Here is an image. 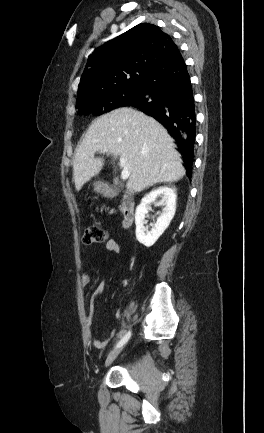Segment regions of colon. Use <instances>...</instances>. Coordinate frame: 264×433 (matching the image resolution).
Masks as SVG:
<instances>
[{"mask_svg": "<svg viewBox=\"0 0 264 433\" xmlns=\"http://www.w3.org/2000/svg\"><path fill=\"white\" fill-rule=\"evenodd\" d=\"M108 240L107 232L96 225H92L86 228L83 234V242L86 245L100 244Z\"/></svg>", "mask_w": 264, "mask_h": 433, "instance_id": "obj_1", "label": "colon"}]
</instances>
